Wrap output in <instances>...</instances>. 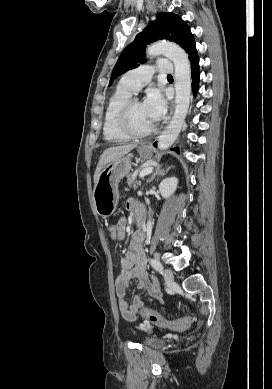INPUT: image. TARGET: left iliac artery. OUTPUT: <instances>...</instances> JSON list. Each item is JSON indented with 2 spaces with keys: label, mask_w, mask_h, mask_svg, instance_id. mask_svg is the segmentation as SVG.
<instances>
[{
  "label": "left iliac artery",
  "mask_w": 272,
  "mask_h": 389,
  "mask_svg": "<svg viewBox=\"0 0 272 389\" xmlns=\"http://www.w3.org/2000/svg\"><path fill=\"white\" fill-rule=\"evenodd\" d=\"M150 264L154 269H156L162 274L163 266L157 259L155 258L150 259Z\"/></svg>",
  "instance_id": "44dca946"
}]
</instances>
